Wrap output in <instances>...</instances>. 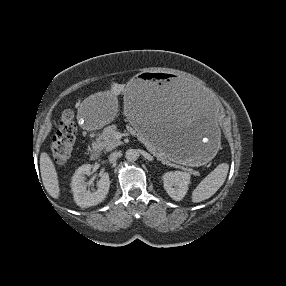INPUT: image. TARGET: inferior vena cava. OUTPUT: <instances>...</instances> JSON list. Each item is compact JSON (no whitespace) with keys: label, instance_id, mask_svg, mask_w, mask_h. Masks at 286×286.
Wrapping results in <instances>:
<instances>
[{"label":"inferior vena cava","instance_id":"1","mask_svg":"<svg viewBox=\"0 0 286 286\" xmlns=\"http://www.w3.org/2000/svg\"><path fill=\"white\" fill-rule=\"evenodd\" d=\"M120 152L118 151H116V152H112L110 155H109V157H108V159H109V162L110 163H114V162H116V160L119 158V156H120Z\"/></svg>","mask_w":286,"mask_h":286}]
</instances>
